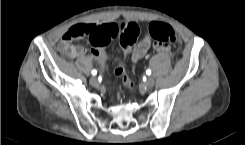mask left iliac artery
<instances>
[{
  "label": "left iliac artery",
  "instance_id": "left-iliac-artery-1",
  "mask_svg": "<svg viewBox=\"0 0 245 145\" xmlns=\"http://www.w3.org/2000/svg\"><path fill=\"white\" fill-rule=\"evenodd\" d=\"M146 73H147L148 75H150V74H151V70H150V69H147Z\"/></svg>",
  "mask_w": 245,
  "mask_h": 145
}]
</instances>
